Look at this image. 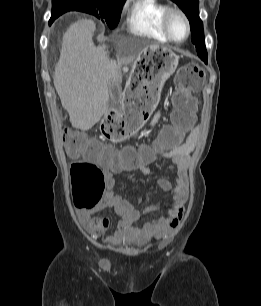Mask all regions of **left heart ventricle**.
Masks as SVG:
<instances>
[{"mask_svg":"<svg viewBox=\"0 0 261 306\" xmlns=\"http://www.w3.org/2000/svg\"><path fill=\"white\" fill-rule=\"evenodd\" d=\"M170 29L172 32V35L176 38V39H183L186 35V28L185 25L182 21V19L177 16L174 15L171 20H170Z\"/></svg>","mask_w":261,"mask_h":306,"instance_id":"left-heart-ventricle-1","label":"left heart ventricle"}]
</instances>
